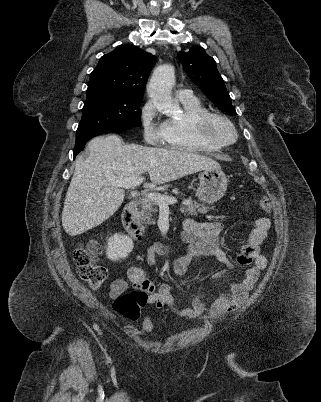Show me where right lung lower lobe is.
<instances>
[{
  "mask_svg": "<svg viewBox=\"0 0 321 402\" xmlns=\"http://www.w3.org/2000/svg\"><path fill=\"white\" fill-rule=\"evenodd\" d=\"M129 128L125 127H111V128H105V129H99V130H94V131H88V132H83V133H77L76 134V144L74 147V157L81 152L86 144V142L91 139L92 137L104 134V133H111V132H118V131H123L127 130Z\"/></svg>",
  "mask_w": 321,
  "mask_h": 402,
  "instance_id": "98d812e1",
  "label": "right lung lower lobe"
}]
</instances>
